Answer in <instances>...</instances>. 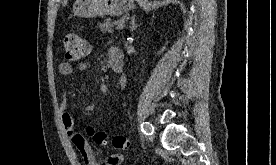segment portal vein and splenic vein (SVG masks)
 <instances>
[{"label":"portal vein and splenic vein","instance_id":"obj_1","mask_svg":"<svg viewBox=\"0 0 276 165\" xmlns=\"http://www.w3.org/2000/svg\"><path fill=\"white\" fill-rule=\"evenodd\" d=\"M115 25L117 26V29H123L125 27L123 21L115 22Z\"/></svg>","mask_w":276,"mask_h":165}]
</instances>
